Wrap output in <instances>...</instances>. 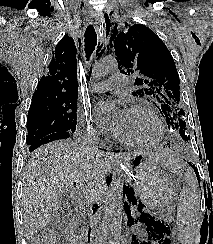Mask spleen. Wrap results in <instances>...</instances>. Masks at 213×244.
I'll return each instance as SVG.
<instances>
[{
	"label": "spleen",
	"instance_id": "spleen-1",
	"mask_svg": "<svg viewBox=\"0 0 213 244\" xmlns=\"http://www.w3.org/2000/svg\"><path fill=\"white\" fill-rule=\"evenodd\" d=\"M177 173L185 171L186 188L182 191L177 204V230L182 244H193L200 228V193L194 173L184 168L175 159L167 163Z\"/></svg>",
	"mask_w": 213,
	"mask_h": 244
}]
</instances>
